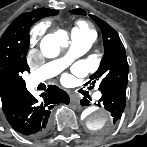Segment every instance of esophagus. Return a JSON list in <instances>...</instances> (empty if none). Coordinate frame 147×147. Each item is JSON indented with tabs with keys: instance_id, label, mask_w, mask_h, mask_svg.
<instances>
[{
	"instance_id": "34e87169",
	"label": "esophagus",
	"mask_w": 147,
	"mask_h": 147,
	"mask_svg": "<svg viewBox=\"0 0 147 147\" xmlns=\"http://www.w3.org/2000/svg\"><path fill=\"white\" fill-rule=\"evenodd\" d=\"M70 101L72 104H76L78 105L80 102V97L79 96H75V95H71L70 96Z\"/></svg>"
}]
</instances>
